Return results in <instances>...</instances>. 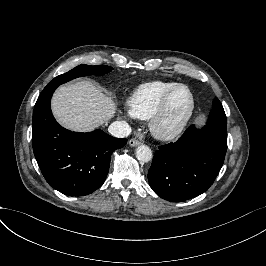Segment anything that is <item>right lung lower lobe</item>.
Segmentation results:
<instances>
[{
	"instance_id": "1",
	"label": "right lung lower lobe",
	"mask_w": 266,
	"mask_h": 266,
	"mask_svg": "<svg viewBox=\"0 0 266 266\" xmlns=\"http://www.w3.org/2000/svg\"><path fill=\"white\" fill-rule=\"evenodd\" d=\"M59 85H47L35 104L33 151L50 186L68 196H84L104 183L111 154L127 139L114 138L99 129L78 133L61 127L50 108L52 94Z\"/></svg>"
}]
</instances>
